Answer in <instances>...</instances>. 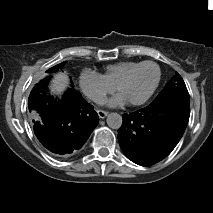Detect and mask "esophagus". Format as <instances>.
Segmentation results:
<instances>
[{
	"mask_svg": "<svg viewBox=\"0 0 213 213\" xmlns=\"http://www.w3.org/2000/svg\"><path fill=\"white\" fill-rule=\"evenodd\" d=\"M97 113L101 119H104L108 115V112L103 110H98Z\"/></svg>",
	"mask_w": 213,
	"mask_h": 213,
	"instance_id": "1",
	"label": "esophagus"
}]
</instances>
